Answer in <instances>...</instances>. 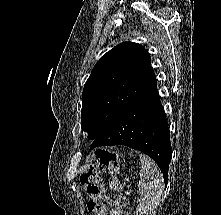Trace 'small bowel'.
Returning <instances> with one entry per match:
<instances>
[{"mask_svg":"<svg viewBox=\"0 0 221 215\" xmlns=\"http://www.w3.org/2000/svg\"><path fill=\"white\" fill-rule=\"evenodd\" d=\"M109 215H121V214H120V212L117 211V210H111V211L109 212Z\"/></svg>","mask_w":221,"mask_h":215,"instance_id":"c3829d8e","label":"small bowel"}]
</instances>
